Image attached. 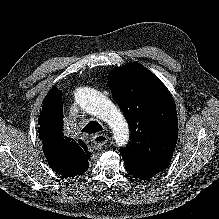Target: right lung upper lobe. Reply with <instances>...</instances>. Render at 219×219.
Wrapping results in <instances>:
<instances>
[{
  "label": "right lung upper lobe",
  "instance_id": "right-lung-upper-lobe-1",
  "mask_svg": "<svg viewBox=\"0 0 219 219\" xmlns=\"http://www.w3.org/2000/svg\"><path fill=\"white\" fill-rule=\"evenodd\" d=\"M38 124L39 137L50 167L63 177L84 174L89 167L90 152L84 142L64 136L63 103L57 87L45 97Z\"/></svg>",
  "mask_w": 219,
  "mask_h": 219
}]
</instances>
